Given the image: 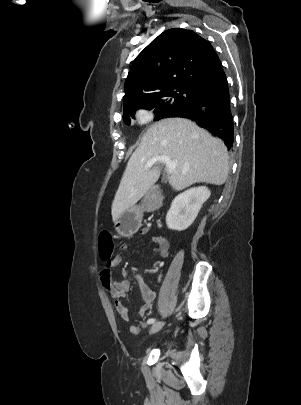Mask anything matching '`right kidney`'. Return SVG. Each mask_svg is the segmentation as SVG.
I'll list each match as a JSON object with an SVG mask.
<instances>
[{
    "label": "right kidney",
    "mask_w": 301,
    "mask_h": 405,
    "mask_svg": "<svg viewBox=\"0 0 301 405\" xmlns=\"http://www.w3.org/2000/svg\"><path fill=\"white\" fill-rule=\"evenodd\" d=\"M210 195V190L205 186L190 188L177 195L166 215L168 228L176 231L187 229Z\"/></svg>",
    "instance_id": "right-kidney-1"
}]
</instances>
